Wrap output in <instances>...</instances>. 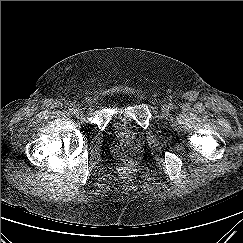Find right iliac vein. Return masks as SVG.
Wrapping results in <instances>:
<instances>
[{
	"label": "right iliac vein",
	"mask_w": 243,
	"mask_h": 243,
	"mask_svg": "<svg viewBox=\"0 0 243 243\" xmlns=\"http://www.w3.org/2000/svg\"><path fill=\"white\" fill-rule=\"evenodd\" d=\"M82 115H83V112H82L81 110L78 109V110L76 111V116H77V117H81Z\"/></svg>",
	"instance_id": "1"
}]
</instances>
